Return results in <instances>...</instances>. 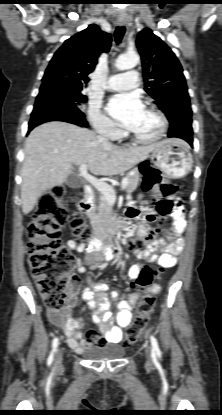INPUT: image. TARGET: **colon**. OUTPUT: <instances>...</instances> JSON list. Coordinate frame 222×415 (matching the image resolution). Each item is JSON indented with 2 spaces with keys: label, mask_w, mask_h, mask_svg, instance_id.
I'll use <instances>...</instances> for the list:
<instances>
[{
  "label": "colon",
  "mask_w": 222,
  "mask_h": 415,
  "mask_svg": "<svg viewBox=\"0 0 222 415\" xmlns=\"http://www.w3.org/2000/svg\"><path fill=\"white\" fill-rule=\"evenodd\" d=\"M144 191L158 199L156 210L160 215H168L177 206L174 198L177 188L164 181L158 169L143 165ZM66 190L55 185L40 197L34 216L28 223L29 265L46 307L50 310L63 309L69 295L76 289L73 275L75 258L73 253L62 245L61 230L65 226L87 246L96 240L91 227L77 212H69L63 203ZM154 218V217H153ZM152 218V220H153ZM153 231L145 236L152 240ZM155 272L149 268L141 270L136 286L140 291L148 288ZM155 308V298L144 294L138 303L132 326L125 333V344L131 345L145 331Z\"/></svg>",
  "instance_id": "5ec220e1"
}]
</instances>
